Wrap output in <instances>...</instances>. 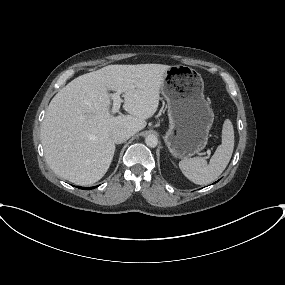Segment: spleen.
I'll list each match as a JSON object with an SVG mask.
<instances>
[{"label": "spleen", "instance_id": "obj_1", "mask_svg": "<svg viewBox=\"0 0 285 285\" xmlns=\"http://www.w3.org/2000/svg\"><path fill=\"white\" fill-rule=\"evenodd\" d=\"M234 149V129L226 119L222 128V143L211 157L209 164L202 157L183 159L179 162L182 173L193 183L205 185L216 180L227 167Z\"/></svg>", "mask_w": 285, "mask_h": 285}]
</instances>
